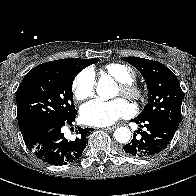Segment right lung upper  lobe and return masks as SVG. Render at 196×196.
<instances>
[{"mask_svg":"<svg viewBox=\"0 0 196 196\" xmlns=\"http://www.w3.org/2000/svg\"><path fill=\"white\" fill-rule=\"evenodd\" d=\"M60 60L67 62V63L75 64L76 66H78L81 69H84L85 67L98 62L97 58H93V59L68 58V59H60ZM56 61H59V60H56Z\"/></svg>","mask_w":196,"mask_h":196,"instance_id":"1","label":"right lung upper lobe"}]
</instances>
